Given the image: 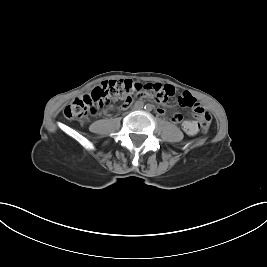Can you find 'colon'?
<instances>
[{
	"mask_svg": "<svg viewBox=\"0 0 267 267\" xmlns=\"http://www.w3.org/2000/svg\"><path fill=\"white\" fill-rule=\"evenodd\" d=\"M134 95L153 98L165 103L174 95V92L166 85L152 83L141 85L127 80H115L106 82L90 95H79L73 98L66 105L64 113L69 119L84 121L89 115L97 113L115 101H122L128 106ZM178 99L180 105L192 109L197 129L206 132L211 123L210 113L188 94L183 93ZM174 119L178 120L179 115L175 114Z\"/></svg>",
	"mask_w": 267,
	"mask_h": 267,
	"instance_id": "colon-1",
	"label": "colon"
}]
</instances>
